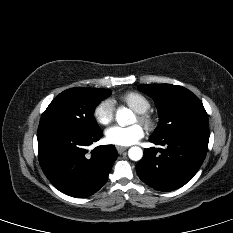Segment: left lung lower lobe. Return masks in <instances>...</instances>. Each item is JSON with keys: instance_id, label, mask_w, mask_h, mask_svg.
<instances>
[{"instance_id": "1", "label": "left lung lower lobe", "mask_w": 233, "mask_h": 233, "mask_svg": "<svg viewBox=\"0 0 233 233\" xmlns=\"http://www.w3.org/2000/svg\"><path fill=\"white\" fill-rule=\"evenodd\" d=\"M149 141L164 148L146 149L136 165L137 174L150 187L167 192L197 173L208 150L209 130L192 129Z\"/></svg>"}]
</instances>
